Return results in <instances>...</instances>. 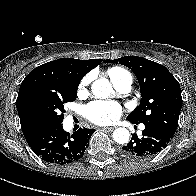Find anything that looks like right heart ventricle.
<instances>
[{
  "mask_svg": "<svg viewBox=\"0 0 196 196\" xmlns=\"http://www.w3.org/2000/svg\"><path fill=\"white\" fill-rule=\"evenodd\" d=\"M107 74L114 85L130 75L128 71L120 67H112L108 69Z\"/></svg>",
  "mask_w": 196,
  "mask_h": 196,
  "instance_id": "right-heart-ventricle-1",
  "label": "right heart ventricle"
}]
</instances>
